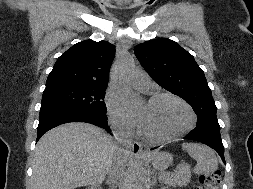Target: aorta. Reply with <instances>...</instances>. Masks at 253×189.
Returning <instances> with one entry per match:
<instances>
[{
	"label": "aorta",
	"instance_id": "1",
	"mask_svg": "<svg viewBox=\"0 0 253 189\" xmlns=\"http://www.w3.org/2000/svg\"><path fill=\"white\" fill-rule=\"evenodd\" d=\"M134 69V61L129 55H124L113 69L115 86L130 107L139 105L141 101L140 96L129 85V77ZM133 182V189H145L146 175L145 169L141 165L135 167Z\"/></svg>",
	"mask_w": 253,
	"mask_h": 189
}]
</instances>
